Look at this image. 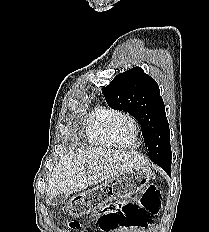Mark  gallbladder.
Segmentation results:
<instances>
[{
    "label": "gallbladder",
    "mask_w": 209,
    "mask_h": 232,
    "mask_svg": "<svg viewBox=\"0 0 209 232\" xmlns=\"http://www.w3.org/2000/svg\"><path fill=\"white\" fill-rule=\"evenodd\" d=\"M66 199H67V195L60 194L51 200V205L56 206V205L63 204L66 201Z\"/></svg>",
    "instance_id": "obj_1"
}]
</instances>
